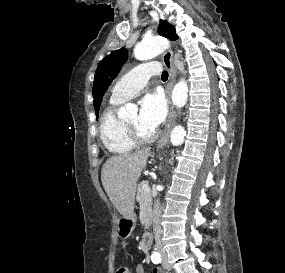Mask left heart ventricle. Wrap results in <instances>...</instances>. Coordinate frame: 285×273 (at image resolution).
Here are the masks:
<instances>
[{
	"mask_svg": "<svg viewBox=\"0 0 285 273\" xmlns=\"http://www.w3.org/2000/svg\"><path fill=\"white\" fill-rule=\"evenodd\" d=\"M130 126L137 128L142 134L150 135L154 132L153 129L144 127L140 124L139 115L137 113L132 114L129 118L125 120Z\"/></svg>",
	"mask_w": 285,
	"mask_h": 273,
	"instance_id": "obj_1",
	"label": "left heart ventricle"
}]
</instances>
